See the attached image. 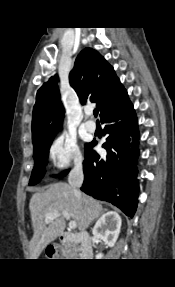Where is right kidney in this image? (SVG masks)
I'll list each match as a JSON object with an SVG mask.
<instances>
[{
  "label": "right kidney",
  "mask_w": 175,
  "mask_h": 287,
  "mask_svg": "<svg viewBox=\"0 0 175 287\" xmlns=\"http://www.w3.org/2000/svg\"><path fill=\"white\" fill-rule=\"evenodd\" d=\"M121 217L117 212L109 211L103 214L93 228V235L101 238L106 245L113 247L116 243L120 229ZM103 254L96 255V259H101Z\"/></svg>",
  "instance_id": "obj_1"
}]
</instances>
